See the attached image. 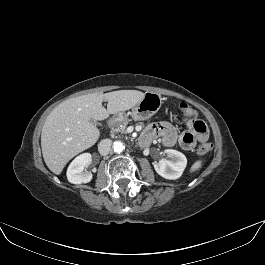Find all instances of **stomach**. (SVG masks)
<instances>
[{"mask_svg": "<svg viewBox=\"0 0 265 265\" xmlns=\"http://www.w3.org/2000/svg\"><path fill=\"white\" fill-rule=\"evenodd\" d=\"M162 98L159 94L153 92H146L143 99L132 107L128 113L120 112L117 114L119 118L130 115L134 120H147L152 117L160 109Z\"/></svg>", "mask_w": 265, "mask_h": 265, "instance_id": "1", "label": "stomach"}]
</instances>
